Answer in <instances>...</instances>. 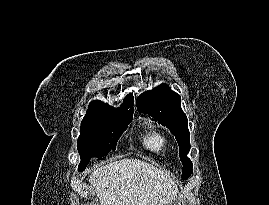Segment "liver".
Returning <instances> with one entry per match:
<instances>
[{
    "label": "liver",
    "instance_id": "6515ba94",
    "mask_svg": "<svg viewBox=\"0 0 269 205\" xmlns=\"http://www.w3.org/2000/svg\"><path fill=\"white\" fill-rule=\"evenodd\" d=\"M100 205H169L177 184L162 170L139 159L115 160L89 176Z\"/></svg>",
    "mask_w": 269,
    "mask_h": 205
}]
</instances>
